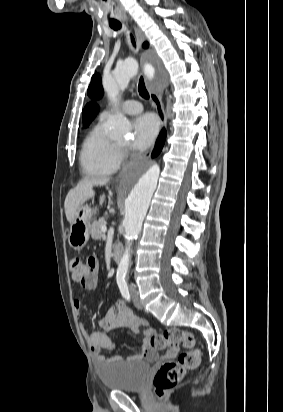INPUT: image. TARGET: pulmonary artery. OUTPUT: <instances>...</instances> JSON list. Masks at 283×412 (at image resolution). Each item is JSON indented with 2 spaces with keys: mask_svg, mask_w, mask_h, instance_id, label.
<instances>
[{
  "mask_svg": "<svg viewBox=\"0 0 283 412\" xmlns=\"http://www.w3.org/2000/svg\"><path fill=\"white\" fill-rule=\"evenodd\" d=\"M121 110L123 113L128 114V115H136L139 114L143 110V106L139 101L136 100H128L125 101L122 106ZM112 111L110 110H104L100 114V121H105L108 119L111 115Z\"/></svg>",
  "mask_w": 283,
  "mask_h": 412,
  "instance_id": "obj_1",
  "label": "pulmonary artery"
}]
</instances>
